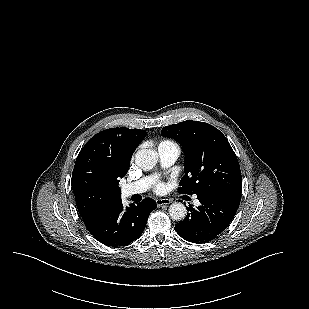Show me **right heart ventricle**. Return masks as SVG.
Returning a JSON list of instances; mask_svg holds the SVG:
<instances>
[{"label": "right heart ventricle", "mask_w": 309, "mask_h": 309, "mask_svg": "<svg viewBox=\"0 0 309 309\" xmlns=\"http://www.w3.org/2000/svg\"><path fill=\"white\" fill-rule=\"evenodd\" d=\"M164 143H167V144H173L172 142H170V141H164V142H162L161 144H164Z\"/></svg>", "instance_id": "e07e8e85"}]
</instances>
